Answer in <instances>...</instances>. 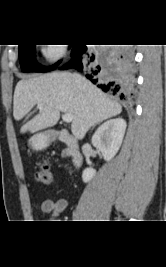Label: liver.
<instances>
[{
  "mask_svg": "<svg viewBox=\"0 0 166 267\" xmlns=\"http://www.w3.org/2000/svg\"><path fill=\"white\" fill-rule=\"evenodd\" d=\"M39 103H43V107L23 126L22 133L52 127L59 121L60 112H64L73 115V135L83 138L91 126L122 111L119 103L109 99L88 80L81 77L77 81L68 72H52L17 83L13 99L15 120H21Z\"/></svg>",
  "mask_w": 166,
  "mask_h": 267,
  "instance_id": "obj_1",
  "label": "liver"
}]
</instances>
